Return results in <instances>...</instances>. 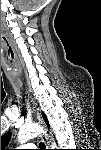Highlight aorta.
<instances>
[{"label": "aorta", "instance_id": "aorta-1", "mask_svg": "<svg viewBox=\"0 0 101 150\" xmlns=\"http://www.w3.org/2000/svg\"><path fill=\"white\" fill-rule=\"evenodd\" d=\"M42 132H43L42 127L37 124L24 126L20 129L18 133V141L20 144H23L28 140L40 135ZM51 146L55 147L56 143L52 142Z\"/></svg>", "mask_w": 101, "mask_h": 150}]
</instances>
